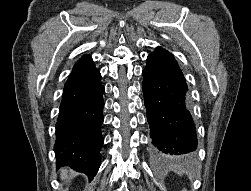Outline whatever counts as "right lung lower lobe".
<instances>
[{"label": "right lung lower lobe", "instance_id": "obj_1", "mask_svg": "<svg viewBox=\"0 0 251 191\" xmlns=\"http://www.w3.org/2000/svg\"><path fill=\"white\" fill-rule=\"evenodd\" d=\"M98 73L63 89L54 145L57 168L70 166L89 181L100 167L104 86Z\"/></svg>", "mask_w": 251, "mask_h": 191}]
</instances>
